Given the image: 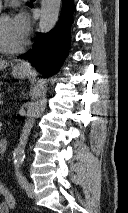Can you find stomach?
<instances>
[{"instance_id": "1", "label": "stomach", "mask_w": 128, "mask_h": 213, "mask_svg": "<svg viewBox=\"0 0 128 213\" xmlns=\"http://www.w3.org/2000/svg\"><path fill=\"white\" fill-rule=\"evenodd\" d=\"M29 74V70L27 68H21L19 66H15L12 70V75L16 78H25Z\"/></svg>"}]
</instances>
